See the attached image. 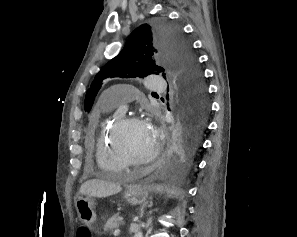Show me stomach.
Here are the masks:
<instances>
[{
    "mask_svg": "<svg viewBox=\"0 0 297 237\" xmlns=\"http://www.w3.org/2000/svg\"><path fill=\"white\" fill-rule=\"evenodd\" d=\"M125 199L131 205H144L149 197V189L144 185H130L125 192ZM76 209L80 221L92 228L96 220L94 200L91 196L79 197L76 201Z\"/></svg>",
    "mask_w": 297,
    "mask_h": 237,
    "instance_id": "0dacf381",
    "label": "stomach"
}]
</instances>
